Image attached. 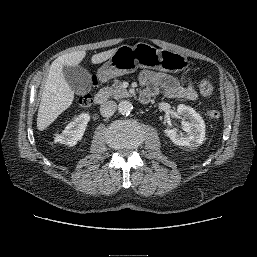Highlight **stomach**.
Segmentation results:
<instances>
[{"instance_id": "obj_1", "label": "stomach", "mask_w": 257, "mask_h": 257, "mask_svg": "<svg viewBox=\"0 0 257 257\" xmlns=\"http://www.w3.org/2000/svg\"><path fill=\"white\" fill-rule=\"evenodd\" d=\"M189 65L187 58L169 50H160L147 43L120 46L99 69L102 80L135 72L140 68H152L165 72H180Z\"/></svg>"}]
</instances>
